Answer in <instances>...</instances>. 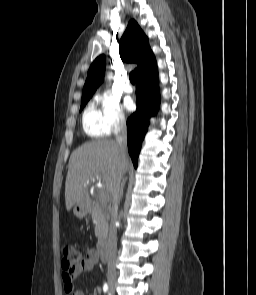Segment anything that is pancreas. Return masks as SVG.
I'll return each mask as SVG.
<instances>
[{
	"mask_svg": "<svg viewBox=\"0 0 256 295\" xmlns=\"http://www.w3.org/2000/svg\"><path fill=\"white\" fill-rule=\"evenodd\" d=\"M92 219L95 224V236L98 244L107 234L109 215L103 203H95L92 207Z\"/></svg>",
	"mask_w": 256,
	"mask_h": 295,
	"instance_id": "obj_1",
	"label": "pancreas"
}]
</instances>
